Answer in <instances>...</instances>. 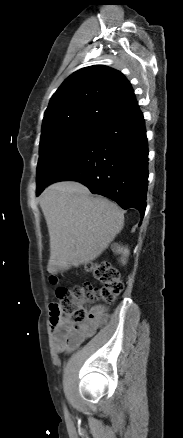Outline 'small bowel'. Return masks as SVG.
Here are the masks:
<instances>
[{
	"label": "small bowel",
	"mask_w": 183,
	"mask_h": 438,
	"mask_svg": "<svg viewBox=\"0 0 183 438\" xmlns=\"http://www.w3.org/2000/svg\"><path fill=\"white\" fill-rule=\"evenodd\" d=\"M106 309L101 306L93 307L87 321L79 330H73L67 323L60 321L53 327V339L58 352L73 349L88 337L94 335L107 321Z\"/></svg>",
	"instance_id": "small-bowel-1"
}]
</instances>
